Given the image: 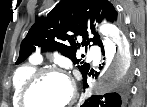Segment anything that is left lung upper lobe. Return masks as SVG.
I'll use <instances>...</instances> for the list:
<instances>
[{"label":"left lung upper lobe","mask_w":147,"mask_h":107,"mask_svg":"<svg viewBox=\"0 0 147 107\" xmlns=\"http://www.w3.org/2000/svg\"><path fill=\"white\" fill-rule=\"evenodd\" d=\"M104 20L118 21V13L108 0H61L47 17L36 18L21 43L16 64L23 62L34 51H58L77 64L82 76H85L90 65L77 59L76 51L89 42L103 48L95 28ZM91 34L94 35L92 38ZM80 39L81 44L78 42Z\"/></svg>","instance_id":"5c2ea615"}]
</instances>
